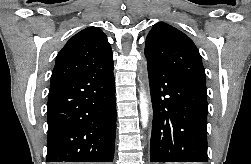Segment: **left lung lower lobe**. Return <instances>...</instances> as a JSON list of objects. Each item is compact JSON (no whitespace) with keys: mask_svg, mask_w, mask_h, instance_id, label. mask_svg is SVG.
Returning a JSON list of instances; mask_svg holds the SVG:
<instances>
[{"mask_svg":"<svg viewBox=\"0 0 251 164\" xmlns=\"http://www.w3.org/2000/svg\"><path fill=\"white\" fill-rule=\"evenodd\" d=\"M153 108L151 162H207L205 82L147 63Z\"/></svg>","mask_w":251,"mask_h":164,"instance_id":"1","label":"left lung lower lobe"}]
</instances>
